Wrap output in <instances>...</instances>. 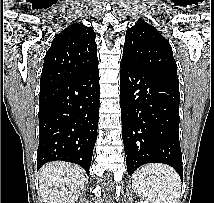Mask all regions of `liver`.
Instances as JSON below:
<instances>
[{
  "label": "liver",
  "mask_w": 214,
  "mask_h": 203,
  "mask_svg": "<svg viewBox=\"0 0 214 203\" xmlns=\"http://www.w3.org/2000/svg\"><path fill=\"white\" fill-rule=\"evenodd\" d=\"M38 176L44 203H75L86 183L80 166L61 161L45 164Z\"/></svg>",
  "instance_id": "6515ba94"
}]
</instances>
